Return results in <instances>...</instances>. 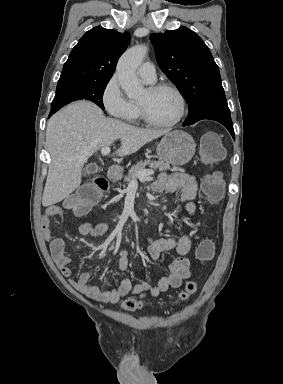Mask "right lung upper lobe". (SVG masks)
Instances as JSON below:
<instances>
[{
    "label": "right lung upper lobe",
    "mask_w": 283,
    "mask_h": 384,
    "mask_svg": "<svg viewBox=\"0 0 283 384\" xmlns=\"http://www.w3.org/2000/svg\"><path fill=\"white\" fill-rule=\"evenodd\" d=\"M130 42V34L101 26L86 32L72 49L58 81V86L108 82L117 61Z\"/></svg>",
    "instance_id": "1"
}]
</instances>
